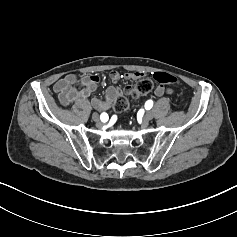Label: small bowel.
<instances>
[{
  "label": "small bowel",
  "mask_w": 237,
  "mask_h": 237,
  "mask_svg": "<svg viewBox=\"0 0 237 237\" xmlns=\"http://www.w3.org/2000/svg\"><path fill=\"white\" fill-rule=\"evenodd\" d=\"M142 75L140 72L120 74L117 71H112L110 79L113 85L107 88L104 98L92 97L88 106L95 108L100 113L108 112L116 98L121 94V89L117 85L118 82L121 79L136 80ZM99 83L100 78L97 75L84 76L78 81L76 75L67 74L54 84V91L57 93L61 105L67 107L72 104L84 103L97 90ZM170 92L171 90L167 89L163 84H159L155 89L157 96H163Z\"/></svg>",
  "instance_id": "c3829d8e"
}]
</instances>
